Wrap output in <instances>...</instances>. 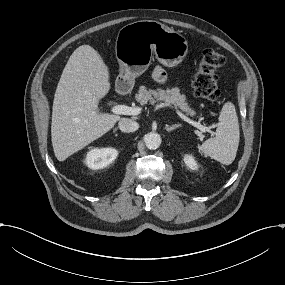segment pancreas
<instances>
[{
	"instance_id": "cf45deb5",
	"label": "pancreas",
	"mask_w": 285,
	"mask_h": 285,
	"mask_svg": "<svg viewBox=\"0 0 285 285\" xmlns=\"http://www.w3.org/2000/svg\"><path fill=\"white\" fill-rule=\"evenodd\" d=\"M136 99L141 104L149 102L154 105L156 101L165 102L173 106L174 109H179L181 112H189L190 116L194 115V112L189 109V106L185 102V98L181 96L178 88L156 90L148 89L145 86L139 87V92L136 95Z\"/></svg>"
}]
</instances>
